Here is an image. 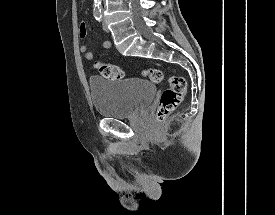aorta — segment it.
Instances as JSON below:
<instances>
[{"label":"aorta","instance_id":"1","mask_svg":"<svg viewBox=\"0 0 275 215\" xmlns=\"http://www.w3.org/2000/svg\"><path fill=\"white\" fill-rule=\"evenodd\" d=\"M94 2H95V3H99V2H100V0H94Z\"/></svg>","mask_w":275,"mask_h":215}]
</instances>
